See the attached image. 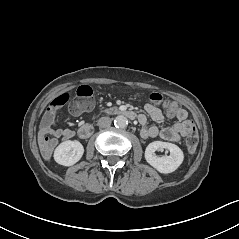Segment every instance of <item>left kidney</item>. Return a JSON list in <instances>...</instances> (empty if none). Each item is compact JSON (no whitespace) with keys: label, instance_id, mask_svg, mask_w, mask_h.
Returning <instances> with one entry per match:
<instances>
[{"label":"left kidney","instance_id":"obj_1","mask_svg":"<svg viewBox=\"0 0 239 239\" xmlns=\"http://www.w3.org/2000/svg\"><path fill=\"white\" fill-rule=\"evenodd\" d=\"M167 149L169 156H157L155 151ZM146 161L160 173H171L175 171L183 162V151L175 144L162 141L151 142L145 150Z\"/></svg>","mask_w":239,"mask_h":239}]
</instances>
